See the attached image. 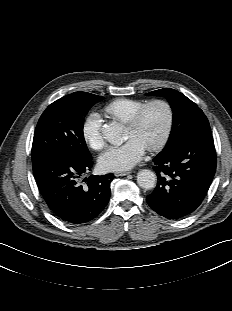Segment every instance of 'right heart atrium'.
<instances>
[{
  "instance_id": "right-heart-atrium-1",
  "label": "right heart atrium",
  "mask_w": 232,
  "mask_h": 311,
  "mask_svg": "<svg viewBox=\"0 0 232 311\" xmlns=\"http://www.w3.org/2000/svg\"><path fill=\"white\" fill-rule=\"evenodd\" d=\"M82 134L88 146L100 150L105 146V126L97 113H90L84 120Z\"/></svg>"
}]
</instances>
